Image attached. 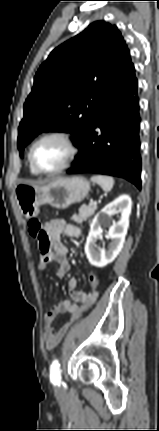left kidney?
I'll return each instance as SVG.
<instances>
[{"label":"left kidney","mask_w":159,"mask_h":431,"mask_svg":"<svg viewBox=\"0 0 159 431\" xmlns=\"http://www.w3.org/2000/svg\"><path fill=\"white\" fill-rule=\"evenodd\" d=\"M132 201L128 195H121L107 204L93 219L85 244V254L89 263L102 268L110 264L123 248L125 236L129 227ZM114 214H120L118 222L112 221ZM112 222V224H111ZM109 226L108 235L112 239L108 249L96 247V241L101 237L103 227Z\"/></svg>","instance_id":"5707ae66"}]
</instances>
